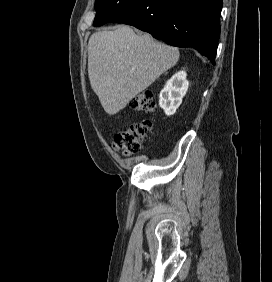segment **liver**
I'll return each instance as SVG.
<instances>
[{"mask_svg": "<svg viewBox=\"0 0 272 282\" xmlns=\"http://www.w3.org/2000/svg\"><path fill=\"white\" fill-rule=\"evenodd\" d=\"M179 59L175 47L139 34L126 25L99 31L88 42V76L105 112L123 110Z\"/></svg>", "mask_w": 272, "mask_h": 282, "instance_id": "liver-1", "label": "liver"}]
</instances>
